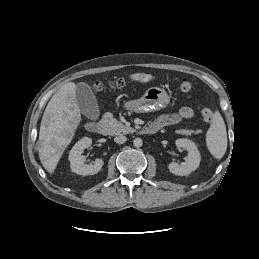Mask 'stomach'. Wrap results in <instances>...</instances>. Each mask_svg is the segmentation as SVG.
<instances>
[{
    "mask_svg": "<svg viewBox=\"0 0 259 259\" xmlns=\"http://www.w3.org/2000/svg\"><path fill=\"white\" fill-rule=\"evenodd\" d=\"M170 103V96L160 87L149 88L141 98L126 101L124 109L136 113L159 111L166 108Z\"/></svg>",
    "mask_w": 259,
    "mask_h": 259,
    "instance_id": "1",
    "label": "stomach"
}]
</instances>
